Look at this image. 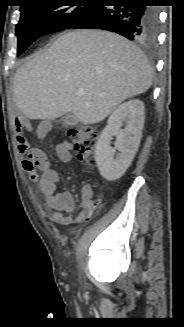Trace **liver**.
Masks as SVG:
<instances>
[{
	"label": "liver",
	"mask_w": 184,
	"mask_h": 327,
	"mask_svg": "<svg viewBox=\"0 0 184 327\" xmlns=\"http://www.w3.org/2000/svg\"><path fill=\"white\" fill-rule=\"evenodd\" d=\"M152 78L145 55L126 38L77 30L61 35L17 70L14 100L29 119L73 113L85 125L96 124L124 100L146 92ZM81 88L85 94L78 96Z\"/></svg>",
	"instance_id": "obj_1"
}]
</instances>
